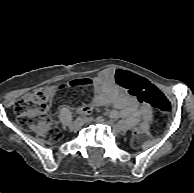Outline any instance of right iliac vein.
<instances>
[{"instance_id":"63e3f726","label":"right iliac vein","mask_w":194,"mask_h":193,"mask_svg":"<svg viewBox=\"0 0 194 193\" xmlns=\"http://www.w3.org/2000/svg\"><path fill=\"white\" fill-rule=\"evenodd\" d=\"M83 124H84L83 120H81L79 122L75 121L74 123L71 124L70 129L76 132V131H78L81 128V126Z\"/></svg>"}]
</instances>
